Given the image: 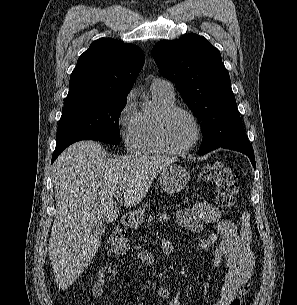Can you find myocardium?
I'll return each instance as SVG.
<instances>
[{"label": "myocardium", "instance_id": "obj_1", "mask_svg": "<svg viewBox=\"0 0 297 305\" xmlns=\"http://www.w3.org/2000/svg\"><path fill=\"white\" fill-rule=\"evenodd\" d=\"M176 113H182L188 116L194 124L195 128V136L193 140L184 147H173L171 146L165 136V124L167 120ZM202 130L201 124L197 118V116L187 108L172 105L160 110L155 118L154 122V138L158 147L168 154L180 155L189 152L192 150L196 144L199 142L201 138Z\"/></svg>", "mask_w": 297, "mask_h": 305}]
</instances>
